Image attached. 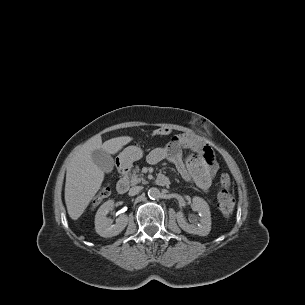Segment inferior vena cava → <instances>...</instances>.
<instances>
[{
    "mask_svg": "<svg viewBox=\"0 0 305 305\" xmlns=\"http://www.w3.org/2000/svg\"><path fill=\"white\" fill-rule=\"evenodd\" d=\"M141 190H142V187H141V186H134V187L130 188L128 194H129L130 196H134V195L139 194V192H141Z\"/></svg>",
    "mask_w": 305,
    "mask_h": 305,
    "instance_id": "602c4592",
    "label": "inferior vena cava"
}]
</instances>
